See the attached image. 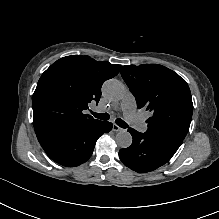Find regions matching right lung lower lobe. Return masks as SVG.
I'll use <instances>...</instances> for the list:
<instances>
[{
    "label": "right lung lower lobe",
    "instance_id": "1",
    "mask_svg": "<svg viewBox=\"0 0 219 219\" xmlns=\"http://www.w3.org/2000/svg\"><path fill=\"white\" fill-rule=\"evenodd\" d=\"M110 122L96 121L87 125L68 124L34 128L46 154L56 163L74 167L86 162L97 139L111 131Z\"/></svg>",
    "mask_w": 219,
    "mask_h": 219
}]
</instances>
